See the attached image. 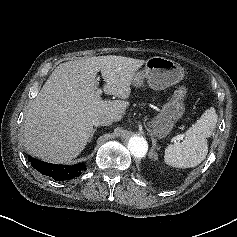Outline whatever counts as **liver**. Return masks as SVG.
Instances as JSON below:
<instances>
[{
	"label": "liver",
	"mask_w": 237,
	"mask_h": 237,
	"mask_svg": "<svg viewBox=\"0 0 237 237\" xmlns=\"http://www.w3.org/2000/svg\"><path fill=\"white\" fill-rule=\"evenodd\" d=\"M145 60L116 55L89 57L60 64L32 102L24 122L26 149L44 161L63 163L77 157L93 131V120L108 116L119 121L128 107L131 84ZM105 81L96 95L97 73Z\"/></svg>",
	"instance_id": "liver-1"
}]
</instances>
